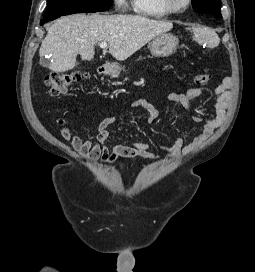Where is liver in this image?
<instances>
[{
  "label": "liver",
  "instance_id": "obj_1",
  "mask_svg": "<svg viewBox=\"0 0 255 272\" xmlns=\"http://www.w3.org/2000/svg\"><path fill=\"white\" fill-rule=\"evenodd\" d=\"M172 28L171 22L140 15H68L50 26L39 55L40 58L49 56L50 70L64 72L75 67L78 54L82 60L90 61L94 57L95 44L108 42L109 53L123 61Z\"/></svg>",
  "mask_w": 255,
  "mask_h": 272
}]
</instances>
